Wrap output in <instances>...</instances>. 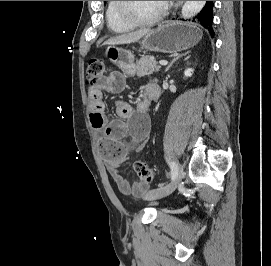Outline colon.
I'll list each match as a JSON object with an SVG mask.
<instances>
[{
  "label": "colon",
  "mask_w": 271,
  "mask_h": 266,
  "mask_svg": "<svg viewBox=\"0 0 271 266\" xmlns=\"http://www.w3.org/2000/svg\"><path fill=\"white\" fill-rule=\"evenodd\" d=\"M105 71V65L102 59L93 57L89 60L87 68V77L91 80L103 75ZM133 169L140 179L144 183H150L153 179V171L143 161H137L133 164Z\"/></svg>",
  "instance_id": "colon-1"
}]
</instances>
